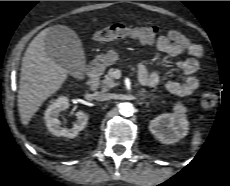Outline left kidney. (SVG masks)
Returning a JSON list of instances; mask_svg holds the SVG:
<instances>
[{
	"instance_id": "obj_1",
	"label": "left kidney",
	"mask_w": 230,
	"mask_h": 186,
	"mask_svg": "<svg viewBox=\"0 0 230 186\" xmlns=\"http://www.w3.org/2000/svg\"><path fill=\"white\" fill-rule=\"evenodd\" d=\"M186 107L181 104L174 106V113H164L149 123L150 132L162 143L174 144L185 137L189 130L186 118Z\"/></svg>"
}]
</instances>
